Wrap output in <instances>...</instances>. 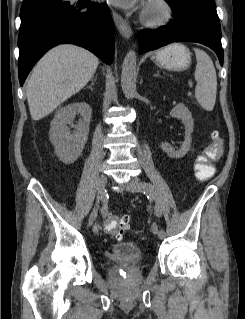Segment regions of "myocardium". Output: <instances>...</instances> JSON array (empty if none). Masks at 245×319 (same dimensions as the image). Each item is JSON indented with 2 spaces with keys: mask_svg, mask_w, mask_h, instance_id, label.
<instances>
[{
  "mask_svg": "<svg viewBox=\"0 0 245 319\" xmlns=\"http://www.w3.org/2000/svg\"><path fill=\"white\" fill-rule=\"evenodd\" d=\"M173 18V8L167 0H149L141 15V22L151 28L167 24Z\"/></svg>",
  "mask_w": 245,
  "mask_h": 319,
  "instance_id": "f54148a6",
  "label": "myocardium"
}]
</instances>
